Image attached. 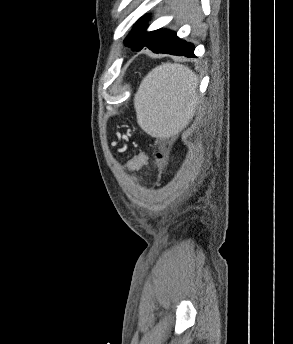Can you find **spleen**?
Segmentation results:
<instances>
[{"label": "spleen", "mask_w": 293, "mask_h": 344, "mask_svg": "<svg viewBox=\"0 0 293 344\" xmlns=\"http://www.w3.org/2000/svg\"><path fill=\"white\" fill-rule=\"evenodd\" d=\"M197 76L186 66L164 63L150 71L135 95L139 126L153 137L178 134L194 113Z\"/></svg>", "instance_id": "3e777b00"}]
</instances>
